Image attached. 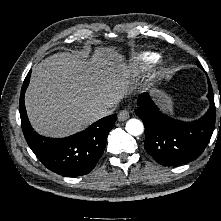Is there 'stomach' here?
Here are the masks:
<instances>
[{"mask_svg": "<svg viewBox=\"0 0 221 221\" xmlns=\"http://www.w3.org/2000/svg\"><path fill=\"white\" fill-rule=\"evenodd\" d=\"M157 94L159 97L160 104L166 107H170L171 101L169 100V98L162 92L157 91Z\"/></svg>", "mask_w": 221, "mask_h": 221, "instance_id": "1", "label": "stomach"}]
</instances>
